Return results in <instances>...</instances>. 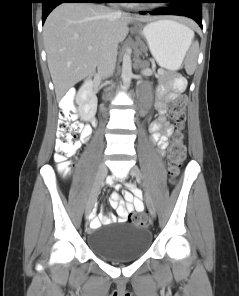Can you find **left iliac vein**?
<instances>
[{
  "label": "left iliac vein",
  "instance_id": "left-iliac-vein-1",
  "mask_svg": "<svg viewBox=\"0 0 239 296\" xmlns=\"http://www.w3.org/2000/svg\"><path fill=\"white\" fill-rule=\"evenodd\" d=\"M130 175L134 178L137 179V181H141L142 180V174H141V171L140 169L137 167V166H133L130 171H129ZM144 188H145V185H143ZM146 190V189H145ZM145 202H146V205H147V208L149 210V212L151 213V215L153 217L156 216V209H155V205H154V202L151 198V196L149 195V193L145 192Z\"/></svg>",
  "mask_w": 239,
  "mask_h": 296
}]
</instances>
